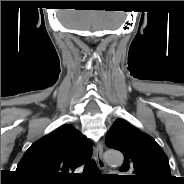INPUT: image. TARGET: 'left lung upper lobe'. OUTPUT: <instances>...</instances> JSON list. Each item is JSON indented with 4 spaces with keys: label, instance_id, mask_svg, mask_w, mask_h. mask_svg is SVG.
<instances>
[{
    "label": "left lung upper lobe",
    "instance_id": "1",
    "mask_svg": "<svg viewBox=\"0 0 184 184\" xmlns=\"http://www.w3.org/2000/svg\"><path fill=\"white\" fill-rule=\"evenodd\" d=\"M107 146L124 155L121 172L131 184H171L170 166L162 148L149 135L124 119H117L106 134Z\"/></svg>",
    "mask_w": 184,
    "mask_h": 184
}]
</instances>
